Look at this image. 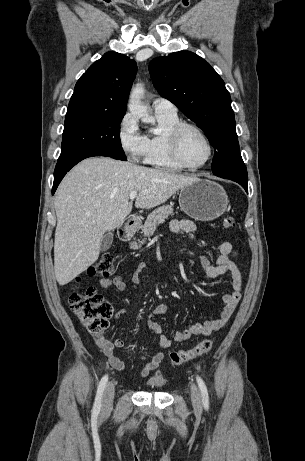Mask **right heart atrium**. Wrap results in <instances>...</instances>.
<instances>
[{"instance_id": "right-heart-atrium-1", "label": "right heart atrium", "mask_w": 305, "mask_h": 461, "mask_svg": "<svg viewBox=\"0 0 305 461\" xmlns=\"http://www.w3.org/2000/svg\"><path fill=\"white\" fill-rule=\"evenodd\" d=\"M118 140L124 152L132 160L141 157L143 136L138 131L135 117L130 113L125 114L119 123Z\"/></svg>"}]
</instances>
